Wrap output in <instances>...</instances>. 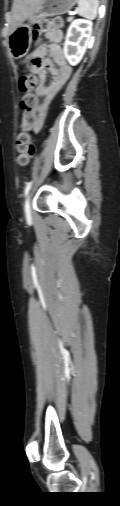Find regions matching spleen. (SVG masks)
I'll return each mask as SVG.
<instances>
[{"mask_svg": "<svg viewBox=\"0 0 120 506\" xmlns=\"http://www.w3.org/2000/svg\"><path fill=\"white\" fill-rule=\"evenodd\" d=\"M98 0H78V13L80 16L93 20L97 16Z\"/></svg>", "mask_w": 120, "mask_h": 506, "instance_id": "3e777b00", "label": "spleen"}]
</instances>
